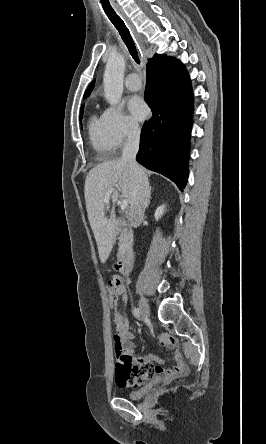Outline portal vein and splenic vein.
I'll return each mask as SVG.
<instances>
[{"instance_id":"1","label":"portal vein and splenic vein","mask_w":266,"mask_h":444,"mask_svg":"<svg viewBox=\"0 0 266 444\" xmlns=\"http://www.w3.org/2000/svg\"><path fill=\"white\" fill-rule=\"evenodd\" d=\"M115 191H116L115 188H111V189H109V190L107 191V193H106V195H105V198H104V202H105V203H109L110 196H111V194H112L113 192H115ZM120 206H121V209H122V210L126 209V208L128 207V200H127V199H122V200L120 201Z\"/></svg>"}]
</instances>
